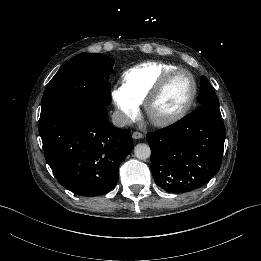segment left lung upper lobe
Instances as JSON below:
<instances>
[{
  "instance_id": "5c2ea615",
  "label": "left lung upper lobe",
  "mask_w": 261,
  "mask_h": 261,
  "mask_svg": "<svg viewBox=\"0 0 261 261\" xmlns=\"http://www.w3.org/2000/svg\"><path fill=\"white\" fill-rule=\"evenodd\" d=\"M200 84L199 102L204 103L208 100L214 99L215 92L205 76L201 77Z\"/></svg>"
}]
</instances>
